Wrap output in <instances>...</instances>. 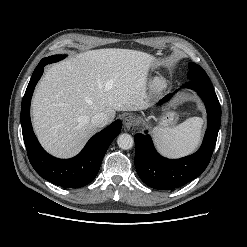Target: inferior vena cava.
Listing matches in <instances>:
<instances>
[{"instance_id":"1","label":"inferior vena cava","mask_w":247,"mask_h":247,"mask_svg":"<svg viewBox=\"0 0 247 247\" xmlns=\"http://www.w3.org/2000/svg\"><path fill=\"white\" fill-rule=\"evenodd\" d=\"M91 122L94 126L101 128L109 123V118L105 113L100 112L92 117Z\"/></svg>"}]
</instances>
